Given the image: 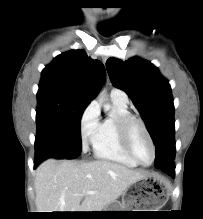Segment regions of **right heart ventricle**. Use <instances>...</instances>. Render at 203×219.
I'll list each match as a JSON object with an SVG mask.
<instances>
[{
	"mask_svg": "<svg viewBox=\"0 0 203 219\" xmlns=\"http://www.w3.org/2000/svg\"><path fill=\"white\" fill-rule=\"evenodd\" d=\"M114 112L100 123L93 141V151L97 159L111 161L128 167L138 164L125 151L118 127V120L130 115L127 105L113 101Z\"/></svg>",
	"mask_w": 203,
	"mask_h": 219,
	"instance_id": "1",
	"label": "right heart ventricle"
}]
</instances>
